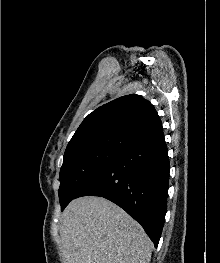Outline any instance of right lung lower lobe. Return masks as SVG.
<instances>
[{"label": "right lung lower lobe", "instance_id": "obj_1", "mask_svg": "<svg viewBox=\"0 0 220 263\" xmlns=\"http://www.w3.org/2000/svg\"><path fill=\"white\" fill-rule=\"evenodd\" d=\"M168 149L161 133L136 142L92 178L74 197L101 196L138 221L158 246L169 187Z\"/></svg>", "mask_w": 220, "mask_h": 263}]
</instances>
